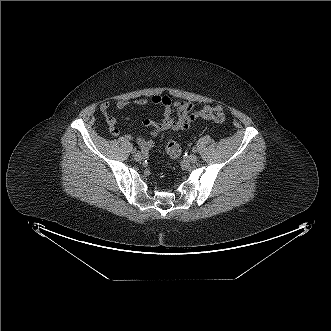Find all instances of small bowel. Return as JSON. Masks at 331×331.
Segmentation results:
<instances>
[{
	"instance_id": "small-bowel-1",
	"label": "small bowel",
	"mask_w": 331,
	"mask_h": 331,
	"mask_svg": "<svg viewBox=\"0 0 331 331\" xmlns=\"http://www.w3.org/2000/svg\"><path fill=\"white\" fill-rule=\"evenodd\" d=\"M138 106L155 105L163 108V118L160 122H155L150 119L143 121V127L148 129L149 132L155 136L160 137L165 132L183 131L189 129L198 119V110L195 105L188 101H172L167 96L154 95L150 98H141L134 101ZM127 101H117L115 106L117 109L122 110L128 106ZM100 111L105 117L109 126L110 133L113 136L119 135V130L116 126L117 119L111 112V103L104 102L100 106ZM194 116V117H192ZM127 140H136L138 145L145 149L150 150L155 146V142L151 139H145L140 136L127 133L125 135Z\"/></svg>"
}]
</instances>
